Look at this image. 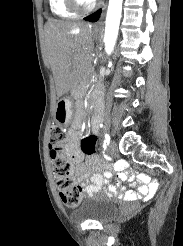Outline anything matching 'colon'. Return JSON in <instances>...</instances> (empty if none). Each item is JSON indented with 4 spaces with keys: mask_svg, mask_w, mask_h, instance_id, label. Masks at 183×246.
<instances>
[{
    "mask_svg": "<svg viewBox=\"0 0 183 246\" xmlns=\"http://www.w3.org/2000/svg\"><path fill=\"white\" fill-rule=\"evenodd\" d=\"M66 113H57V120L63 123ZM97 134L87 133L81 140L80 151L88 157H97ZM66 134L60 124L50 129L49 149L52 170L62 202L68 208H76L81 202L80 186L71 177V165L65 157Z\"/></svg>",
    "mask_w": 183,
    "mask_h": 246,
    "instance_id": "1",
    "label": "colon"
}]
</instances>
